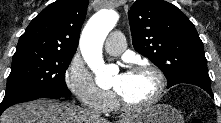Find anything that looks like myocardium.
I'll return each instance as SVG.
<instances>
[{"mask_svg":"<svg viewBox=\"0 0 221 123\" xmlns=\"http://www.w3.org/2000/svg\"><path fill=\"white\" fill-rule=\"evenodd\" d=\"M134 71H148L154 75L157 81V89L153 97L143 103H131L128 100L124 98V96L119 93L116 89H113L115 98L118 102V104L127 111H141L148 109L154 105H156L163 97L164 92H165V87H166V81H165V76L163 72L156 67L155 65L151 63H139L136 65H133L130 69L129 72H134Z\"/></svg>","mask_w":221,"mask_h":123,"instance_id":"1","label":"myocardium"}]
</instances>
